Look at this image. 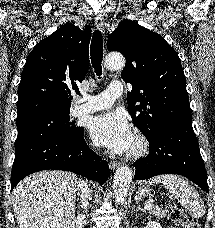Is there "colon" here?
I'll use <instances>...</instances> for the list:
<instances>
[{
    "instance_id": "1",
    "label": "colon",
    "mask_w": 215,
    "mask_h": 228,
    "mask_svg": "<svg viewBox=\"0 0 215 228\" xmlns=\"http://www.w3.org/2000/svg\"><path fill=\"white\" fill-rule=\"evenodd\" d=\"M167 213L172 223L179 228H199L198 224L191 216L173 204L167 206Z\"/></svg>"
}]
</instances>
